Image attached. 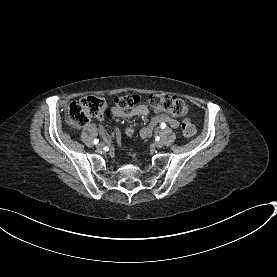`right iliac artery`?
Segmentation results:
<instances>
[{
  "label": "right iliac artery",
  "instance_id": "obj_1",
  "mask_svg": "<svg viewBox=\"0 0 277 277\" xmlns=\"http://www.w3.org/2000/svg\"><path fill=\"white\" fill-rule=\"evenodd\" d=\"M98 142H99V140H98V139H95V140H94V143H95V144H97Z\"/></svg>",
  "mask_w": 277,
  "mask_h": 277
}]
</instances>
